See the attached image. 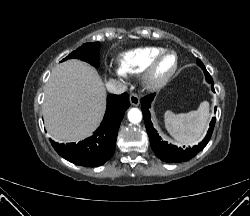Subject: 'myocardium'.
<instances>
[{
    "label": "myocardium",
    "instance_id": "f54148a6",
    "mask_svg": "<svg viewBox=\"0 0 250 216\" xmlns=\"http://www.w3.org/2000/svg\"><path fill=\"white\" fill-rule=\"evenodd\" d=\"M168 55H172L175 59L172 69L164 76H157L156 71L160 61ZM178 66L179 58L175 51L164 50L160 52L150 61L145 71L143 72V83L145 87L151 91H158L162 89L176 74Z\"/></svg>",
    "mask_w": 250,
    "mask_h": 216
}]
</instances>
